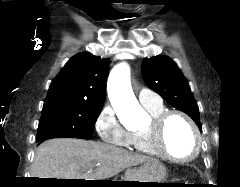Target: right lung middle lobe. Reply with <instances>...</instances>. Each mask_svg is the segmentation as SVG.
Masks as SVG:
<instances>
[{"label": "right lung middle lobe", "mask_w": 240, "mask_h": 187, "mask_svg": "<svg viewBox=\"0 0 240 187\" xmlns=\"http://www.w3.org/2000/svg\"><path fill=\"white\" fill-rule=\"evenodd\" d=\"M103 105L59 104L43 107L39 121L37 141L51 138L90 139L93 124Z\"/></svg>", "instance_id": "1"}]
</instances>
